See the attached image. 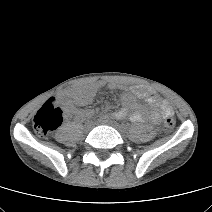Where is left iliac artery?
I'll return each instance as SVG.
<instances>
[{"label":"left iliac artery","instance_id":"44dca946","mask_svg":"<svg viewBox=\"0 0 212 212\" xmlns=\"http://www.w3.org/2000/svg\"><path fill=\"white\" fill-rule=\"evenodd\" d=\"M120 127H121L123 130H126V129H127V125L124 124V123H122V124L120 125Z\"/></svg>","mask_w":212,"mask_h":212}]
</instances>
